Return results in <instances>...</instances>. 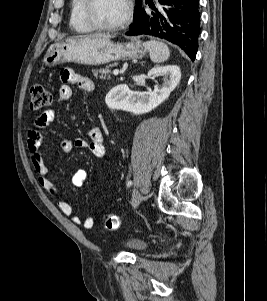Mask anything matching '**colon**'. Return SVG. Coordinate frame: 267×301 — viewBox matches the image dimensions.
Returning a JSON list of instances; mask_svg holds the SVG:
<instances>
[{
  "mask_svg": "<svg viewBox=\"0 0 267 301\" xmlns=\"http://www.w3.org/2000/svg\"><path fill=\"white\" fill-rule=\"evenodd\" d=\"M52 102L51 93L42 85H33L30 90V107L33 110H39L50 105ZM106 229L114 231L120 225V219L117 215L107 214L104 218Z\"/></svg>",
  "mask_w": 267,
  "mask_h": 301,
  "instance_id": "5ec220e1",
  "label": "colon"
}]
</instances>
